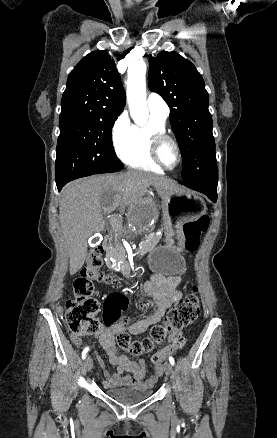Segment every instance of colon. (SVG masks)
I'll return each mask as SVG.
<instances>
[{
  "label": "colon",
  "instance_id": "colon-1",
  "mask_svg": "<svg viewBox=\"0 0 277 438\" xmlns=\"http://www.w3.org/2000/svg\"><path fill=\"white\" fill-rule=\"evenodd\" d=\"M209 226V218L206 215L200 216L196 221L183 225V234L186 239L185 246L189 251H195L200 245L201 235ZM104 251L100 246L92 249L86 260L81 276L77 278L74 286V295L67 300L65 315L69 326L73 330L84 331L88 334H102L101 313L99 303L92 294L94 293V283L115 284L120 281L108 274L103 268ZM200 311V303L195 295H187L178 301L166 315L165 320L154 326L150 334L141 340H132L127 332H119L115 335V342L123 351H127L134 356L142 353L151 352L156 346L162 344L169 334L174 333L173 344L177 348L185 345V336L175 331L183 329L191 324ZM127 317L122 318V322L127 321ZM163 353H156L152 357L154 363L164 361Z\"/></svg>",
  "mask_w": 277,
  "mask_h": 438
}]
</instances>
